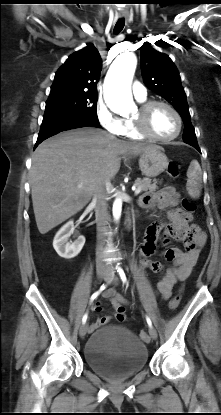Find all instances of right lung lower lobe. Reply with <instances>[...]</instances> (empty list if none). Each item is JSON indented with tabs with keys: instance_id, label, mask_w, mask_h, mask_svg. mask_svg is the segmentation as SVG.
<instances>
[{
	"instance_id": "1",
	"label": "right lung lower lobe",
	"mask_w": 221,
	"mask_h": 415,
	"mask_svg": "<svg viewBox=\"0 0 221 415\" xmlns=\"http://www.w3.org/2000/svg\"><path fill=\"white\" fill-rule=\"evenodd\" d=\"M87 126L99 127L100 124L98 120L81 114L45 112L34 148H36L45 139L56 135L59 132Z\"/></svg>"
}]
</instances>
